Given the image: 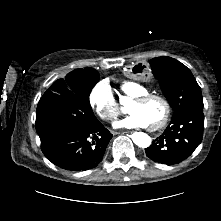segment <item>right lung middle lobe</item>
<instances>
[{
	"instance_id": "right-lung-middle-lobe-1",
	"label": "right lung middle lobe",
	"mask_w": 221,
	"mask_h": 221,
	"mask_svg": "<svg viewBox=\"0 0 221 221\" xmlns=\"http://www.w3.org/2000/svg\"><path fill=\"white\" fill-rule=\"evenodd\" d=\"M96 71L55 81L41 97L36 110V131L41 142L75 127H89L98 120L89 94L98 82Z\"/></svg>"
}]
</instances>
